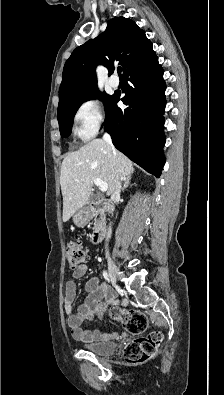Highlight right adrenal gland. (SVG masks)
Masks as SVG:
<instances>
[{
  "label": "right adrenal gland",
  "mask_w": 224,
  "mask_h": 395,
  "mask_svg": "<svg viewBox=\"0 0 224 395\" xmlns=\"http://www.w3.org/2000/svg\"><path fill=\"white\" fill-rule=\"evenodd\" d=\"M130 180H131V177H127L124 180V185H123L122 191H124L130 185Z\"/></svg>",
  "instance_id": "obj_1"
}]
</instances>
